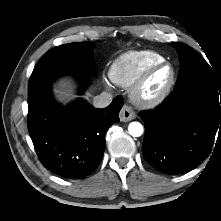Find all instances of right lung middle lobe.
I'll list each match as a JSON object with an SVG mask.
<instances>
[{
	"label": "right lung middle lobe",
	"mask_w": 221,
	"mask_h": 221,
	"mask_svg": "<svg viewBox=\"0 0 221 221\" xmlns=\"http://www.w3.org/2000/svg\"><path fill=\"white\" fill-rule=\"evenodd\" d=\"M94 47L95 44L91 42L70 43L57 46L45 53L31 74L28 92L64 73L92 71Z\"/></svg>",
	"instance_id": "dd1d6c3e"
}]
</instances>
